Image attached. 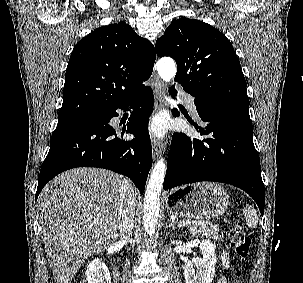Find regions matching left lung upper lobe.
I'll list each match as a JSON object with an SVG mask.
<instances>
[{
	"label": "left lung upper lobe",
	"mask_w": 303,
	"mask_h": 283,
	"mask_svg": "<svg viewBox=\"0 0 303 283\" xmlns=\"http://www.w3.org/2000/svg\"><path fill=\"white\" fill-rule=\"evenodd\" d=\"M156 53L176 61L174 81L194 98L249 107L246 81L232 44L211 25L174 19L157 39Z\"/></svg>",
	"instance_id": "5c2ea615"
}]
</instances>
